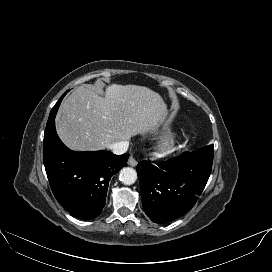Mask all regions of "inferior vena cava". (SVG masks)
Here are the masks:
<instances>
[{
  "label": "inferior vena cava",
  "mask_w": 272,
  "mask_h": 272,
  "mask_svg": "<svg viewBox=\"0 0 272 272\" xmlns=\"http://www.w3.org/2000/svg\"><path fill=\"white\" fill-rule=\"evenodd\" d=\"M129 147V142L128 141H119L112 143L109 146V149L114 153V154H123L127 151Z\"/></svg>",
  "instance_id": "obj_1"
}]
</instances>
